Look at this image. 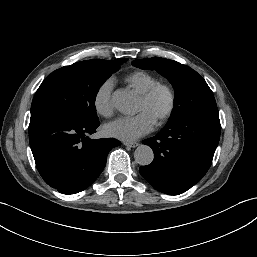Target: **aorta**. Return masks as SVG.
Masks as SVG:
<instances>
[{
  "instance_id": "762f6f07",
  "label": "aorta",
  "mask_w": 257,
  "mask_h": 257,
  "mask_svg": "<svg viewBox=\"0 0 257 257\" xmlns=\"http://www.w3.org/2000/svg\"><path fill=\"white\" fill-rule=\"evenodd\" d=\"M112 103L116 110L125 115H131L136 112V99L128 91L120 90L112 96ZM154 153L148 145H140L134 152L135 161L141 165L146 166L152 163Z\"/></svg>"
}]
</instances>
